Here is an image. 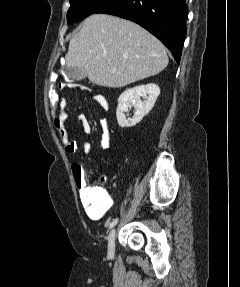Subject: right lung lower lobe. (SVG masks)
I'll return each mask as SVG.
<instances>
[{
	"mask_svg": "<svg viewBox=\"0 0 240 287\" xmlns=\"http://www.w3.org/2000/svg\"><path fill=\"white\" fill-rule=\"evenodd\" d=\"M187 11L185 0H107L94 13L115 15L141 25L171 50L179 64Z\"/></svg>",
	"mask_w": 240,
	"mask_h": 287,
	"instance_id": "right-lung-lower-lobe-1",
	"label": "right lung lower lobe"
}]
</instances>
